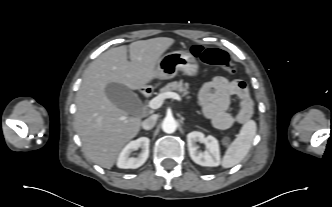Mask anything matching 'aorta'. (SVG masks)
<instances>
[{
  "label": "aorta",
  "instance_id": "aorta-1",
  "mask_svg": "<svg viewBox=\"0 0 332 207\" xmlns=\"http://www.w3.org/2000/svg\"><path fill=\"white\" fill-rule=\"evenodd\" d=\"M177 129V122L173 117H166L162 122V130L165 133L171 134Z\"/></svg>",
  "mask_w": 332,
  "mask_h": 207
}]
</instances>
